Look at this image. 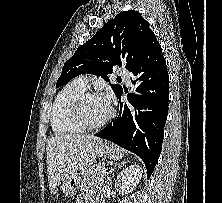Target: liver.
Listing matches in <instances>:
<instances>
[{
	"instance_id": "6515ba94",
	"label": "liver",
	"mask_w": 222,
	"mask_h": 203,
	"mask_svg": "<svg viewBox=\"0 0 222 203\" xmlns=\"http://www.w3.org/2000/svg\"><path fill=\"white\" fill-rule=\"evenodd\" d=\"M100 138L85 135H55L48 139L47 173L50 192L78 171L93 164Z\"/></svg>"
}]
</instances>
